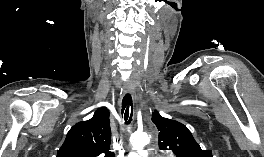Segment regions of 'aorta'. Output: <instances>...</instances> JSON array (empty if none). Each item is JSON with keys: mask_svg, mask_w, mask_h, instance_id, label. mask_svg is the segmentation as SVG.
Instances as JSON below:
<instances>
[{"mask_svg": "<svg viewBox=\"0 0 264 157\" xmlns=\"http://www.w3.org/2000/svg\"><path fill=\"white\" fill-rule=\"evenodd\" d=\"M149 141L150 139L145 133H137L132 136L131 143L133 149L137 151L136 155L146 157L147 151L145 150V147L149 144Z\"/></svg>", "mask_w": 264, "mask_h": 157, "instance_id": "762f6f07", "label": "aorta"}]
</instances>
